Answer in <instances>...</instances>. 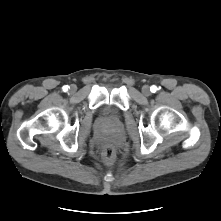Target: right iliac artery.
Returning a JSON list of instances; mask_svg holds the SVG:
<instances>
[{
  "mask_svg": "<svg viewBox=\"0 0 221 221\" xmlns=\"http://www.w3.org/2000/svg\"><path fill=\"white\" fill-rule=\"evenodd\" d=\"M68 88H69V86H68V85H65V86H63L62 89H63L64 92H66V91H68Z\"/></svg>",
  "mask_w": 221,
  "mask_h": 221,
  "instance_id": "obj_1",
  "label": "right iliac artery"
}]
</instances>
